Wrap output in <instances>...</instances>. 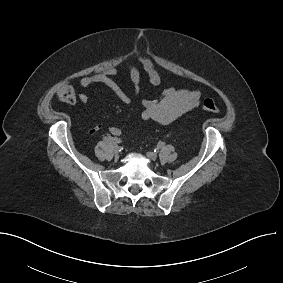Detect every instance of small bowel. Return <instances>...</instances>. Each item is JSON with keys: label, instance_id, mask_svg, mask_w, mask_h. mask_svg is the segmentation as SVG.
<instances>
[{"label": "small bowel", "instance_id": "obj_1", "mask_svg": "<svg viewBox=\"0 0 283 283\" xmlns=\"http://www.w3.org/2000/svg\"><path fill=\"white\" fill-rule=\"evenodd\" d=\"M138 62L147 75V83L151 86H158L161 83L162 78L153 61L146 56H139ZM125 67L134 87V93L135 95H138L141 84L140 69L131 63H126ZM117 74L118 72L116 68L109 67L96 74L81 78L79 84L82 88H87L93 84H102L108 87L122 103L130 104L132 98L115 80ZM78 98L83 104H86L89 100L88 96L84 93L80 94ZM200 98L201 94L199 91L167 87L162 91L159 98H143L141 100L143 106L141 118L143 120H152L162 125L169 124L188 111L198 107ZM99 127L100 126L94 128L92 132ZM109 132L113 136L122 135V130L117 126L110 127Z\"/></svg>", "mask_w": 283, "mask_h": 283}]
</instances>
